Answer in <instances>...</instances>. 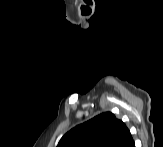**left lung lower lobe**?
<instances>
[{
  "mask_svg": "<svg viewBox=\"0 0 163 147\" xmlns=\"http://www.w3.org/2000/svg\"><path fill=\"white\" fill-rule=\"evenodd\" d=\"M115 147H135V143L128 128L124 131Z\"/></svg>",
  "mask_w": 163,
  "mask_h": 147,
  "instance_id": "left-lung-lower-lobe-1",
  "label": "left lung lower lobe"
}]
</instances>
